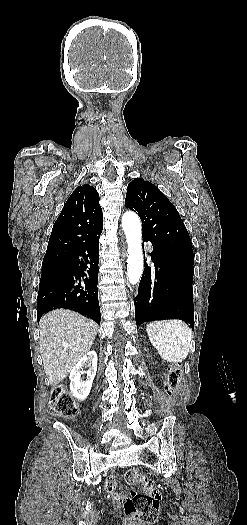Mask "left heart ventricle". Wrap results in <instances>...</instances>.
Wrapping results in <instances>:
<instances>
[{"label":"left heart ventricle","mask_w":247,"mask_h":525,"mask_svg":"<svg viewBox=\"0 0 247 525\" xmlns=\"http://www.w3.org/2000/svg\"><path fill=\"white\" fill-rule=\"evenodd\" d=\"M136 266H137V264H133V267H136Z\"/></svg>","instance_id":"1"}]
</instances>
